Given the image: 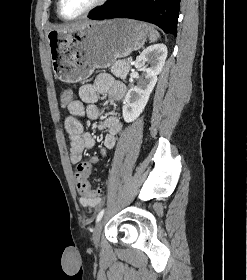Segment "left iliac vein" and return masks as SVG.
<instances>
[{
	"instance_id": "obj_1",
	"label": "left iliac vein",
	"mask_w": 247,
	"mask_h": 280,
	"mask_svg": "<svg viewBox=\"0 0 247 280\" xmlns=\"http://www.w3.org/2000/svg\"><path fill=\"white\" fill-rule=\"evenodd\" d=\"M102 228H103V220H100L96 224L94 231H93V236H92L93 242L96 246H98L100 243V236H101Z\"/></svg>"
}]
</instances>
